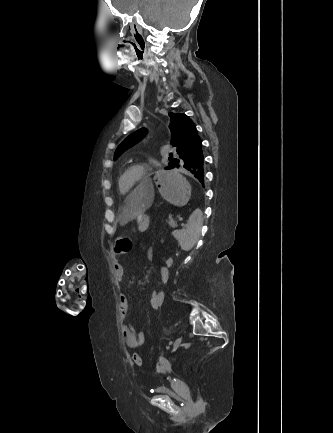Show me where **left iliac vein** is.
Instances as JSON below:
<instances>
[{
	"label": "left iliac vein",
	"instance_id": "1",
	"mask_svg": "<svg viewBox=\"0 0 333 433\" xmlns=\"http://www.w3.org/2000/svg\"><path fill=\"white\" fill-rule=\"evenodd\" d=\"M181 342H182V338H181V337L177 338V339L174 341V344H173V350H176V349L180 346Z\"/></svg>",
	"mask_w": 333,
	"mask_h": 433
}]
</instances>
